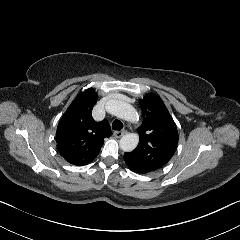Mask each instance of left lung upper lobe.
<instances>
[{"label": "left lung upper lobe", "mask_w": 240, "mask_h": 240, "mask_svg": "<svg viewBox=\"0 0 240 240\" xmlns=\"http://www.w3.org/2000/svg\"><path fill=\"white\" fill-rule=\"evenodd\" d=\"M139 103L143 114L138 128L139 144L125 153L124 160L132 170L151 172L172 158L179 136L169 111L157 95L147 94Z\"/></svg>", "instance_id": "5c2ea615"}]
</instances>
